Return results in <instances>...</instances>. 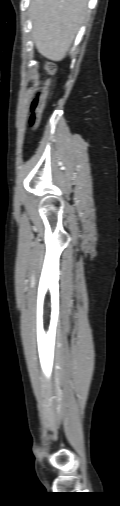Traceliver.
<instances>
[{
	"mask_svg": "<svg viewBox=\"0 0 120 506\" xmlns=\"http://www.w3.org/2000/svg\"><path fill=\"white\" fill-rule=\"evenodd\" d=\"M88 0H32L33 39L44 57L61 61L87 14Z\"/></svg>",
	"mask_w": 120,
	"mask_h": 506,
	"instance_id": "obj_1",
	"label": "liver"
}]
</instances>
